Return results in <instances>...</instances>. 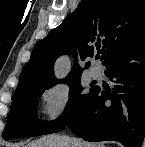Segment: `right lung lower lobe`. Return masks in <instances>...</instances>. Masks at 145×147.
<instances>
[{"label": "right lung lower lobe", "mask_w": 145, "mask_h": 147, "mask_svg": "<svg viewBox=\"0 0 145 147\" xmlns=\"http://www.w3.org/2000/svg\"><path fill=\"white\" fill-rule=\"evenodd\" d=\"M103 65L114 87L96 86L67 127L86 141L112 140L125 147H141L145 137V29Z\"/></svg>", "instance_id": "98d812e1"}]
</instances>
